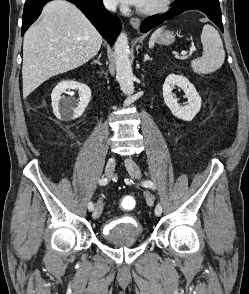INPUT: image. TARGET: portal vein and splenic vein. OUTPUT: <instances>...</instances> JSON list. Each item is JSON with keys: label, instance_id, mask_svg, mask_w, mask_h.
<instances>
[{"label": "portal vein and splenic vein", "instance_id": "portal-vein-and-splenic-vein-1", "mask_svg": "<svg viewBox=\"0 0 249 294\" xmlns=\"http://www.w3.org/2000/svg\"><path fill=\"white\" fill-rule=\"evenodd\" d=\"M194 51H196V49L195 48H191L190 49V54H192ZM181 55L184 56V57H186V52H182Z\"/></svg>", "mask_w": 249, "mask_h": 294}]
</instances>
